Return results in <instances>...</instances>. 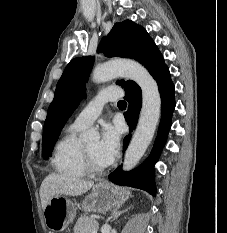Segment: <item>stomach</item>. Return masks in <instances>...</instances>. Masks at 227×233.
<instances>
[{"instance_id":"stomach-1","label":"stomach","mask_w":227,"mask_h":233,"mask_svg":"<svg viewBox=\"0 0 227 233\" xmlns=\"http://www.w3.org/2000/svg\"><path fill=\"white\" fill-rule=\"evenodd\" d=\"M129 190L118 189L107 183L95 185L82 203L84 212L103 213L120 207L129 197ZM76 215V204L69 199L54 197L44 209L46 226L52 231H62L73 222Z\"/></svg>"}]
</instances>
